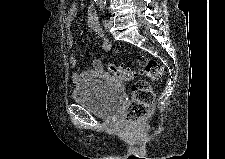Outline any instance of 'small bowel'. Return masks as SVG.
I'll use <instances>...</instances> for the list:
<instances>
[{"label":"small bowel","instance_id":"1","mask_svg":"<svg viewBox=\"0 0 225 159\" xmlns=\"http://www.w3.org/2000/svg\"><path fill=\"white\" fill-rule=\"evenodd\" d=\"M78 13L77 5L73 4L69 7L66 14V25L69 27L74 21ZM86 25L95 35H97L101 41L102 50L107 52L111 49V43L107 37L104 36L101 27L99 25L97 13L95 6L93 4L88 5L87 15H86ZM66 42L68 48L73 46V37L70 32L66 35ZM71 67L75 68L78 64L77 59L74 56H71L69 59ZM93 79H106L113 81V78L109 76L107 71L104 68V65L100 59H94L91 63V68L86 71L74 72L72 75V80L75 84H81L85 81Z\"/></svg>","mask_w":225,"mask_h":159}]
</instances>
